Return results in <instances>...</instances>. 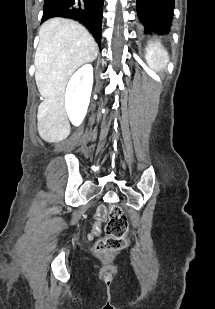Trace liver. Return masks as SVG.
Masks as SVG:
<instances>
[{"label":"liver","mask_w":215,"mask_h":309,"mask_svg":"<svg viewBox=\"0 0 215 309\" xmlns=\"http://www.w3.org/2000/svg\"><path fill=\"white\" fill-rule=\"evenodd\" d=\"M98 44L83 24L70 18H49L39 30L34 58L35 80L44 96L38 106V132L48 142L67 138L70 124L64 106L65 86L73 72L95 60Z\"/></svg>","instance_id":"obj_1"}]
</instances>
